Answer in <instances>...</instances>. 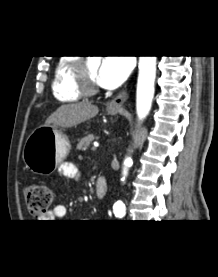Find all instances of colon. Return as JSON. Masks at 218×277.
<instances>
[{
    "mask_svg": "<svg viewBox=\"0 0 218 277\" xmlns=\"http://www.w3.org/2000/svg\"><path fill=\"white\" fill-rule=\"evenodd\" d=\"M53 201V192L50 187L43 184H32L25 189L26 207L30 214L44 215Z\"/></svg>",
    "mask_w": 218,
    "mask_h": 277,
    "instance_id": "obj_1",
    "label": "colon"
}]
</instances>
